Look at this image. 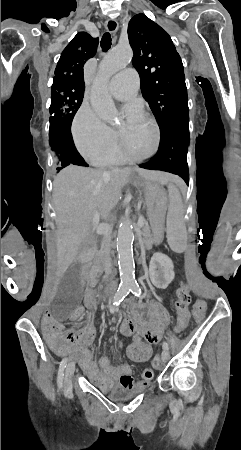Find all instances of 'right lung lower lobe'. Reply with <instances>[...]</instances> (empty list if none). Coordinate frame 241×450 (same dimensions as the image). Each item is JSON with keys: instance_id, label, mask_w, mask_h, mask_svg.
<instances>
[{"instance_id": "obj_1", "label": "right lung lower lobe", "mask_w": 241, "mask_h": 450, "mask_svg": "<svg viewBox=\"0 0 241 450\" xmlns=\"http://www.w3.org/2000/svg\"><path fill=\"white\" fill-rule=\"evenodd\" d=\"M65 148H66V156L70 164L88 166V164L84 161V159L80 156V154L76 150L73 140H67L65 143Z\"/></svg>"}]
</instances>
